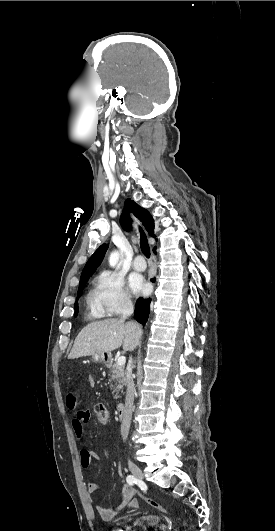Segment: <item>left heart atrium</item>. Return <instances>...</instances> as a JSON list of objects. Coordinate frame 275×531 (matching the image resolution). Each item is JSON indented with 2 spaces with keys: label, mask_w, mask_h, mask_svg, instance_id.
Segmentation results:
<instances>
[{
  "label": "left heart atrium",
  "mask_w": 275,
  "mask_h": 531,
  "mask_svg": "<svg viewBox=\"0 0 275 531\" xmlns=\"http://www.w3.org/2000/svg\"><path fill=\"white\" fill-rule=\"evenodd\" d=\"M128 285L134 293H142L146 287L143 277L137 273L130 274Z\"/></svg>",
  "instance_id": "1"
}]
</instances>
